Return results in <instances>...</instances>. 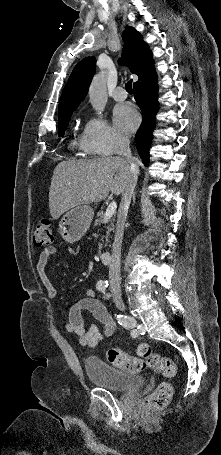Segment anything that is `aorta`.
<instances>
[{
	"instance_id": "762f6f07",
	"label": "aorta",
	"mask_w": 221,
	"mask_h": 455,
	"mask_svg": "<svg viewBox=\"0 0 221 455\" xmlns=\"http://www.w3.org/2000/svg\"><path fill=\"white\" fill-rule=\"evenodd\" d=\"M89 98L93 108L102 111L107 102L106 80L103 73L94 76L90 88Z\"/></svg>"
}]
</instances>
